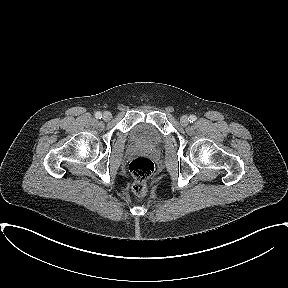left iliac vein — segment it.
I'll list each match as a JSON object with an SVG mask.
<instances>
[{
	"instance_id": "left-iliac-vein-1",
	"label": "left iliac vein",
	"mask_w": 288,
	"mask_h": 288,
	"mask_svg": "<svg viewBox=\"0 0 288 288\" xmlns=\"http://www.w3.org/2000/svg\"><path fill=\"white\" fill-rule=\"evenodd\" d=\"M180 123L182 126H187L189 123V119L186 115H183L180 119Z\"/></svg>"
}]
</instances>
